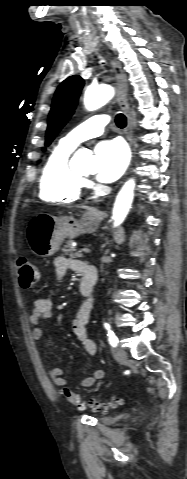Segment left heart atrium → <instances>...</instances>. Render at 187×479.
Instances as JSON below:
<instances>
[{
  "mask_svg": "<svg viewBox=\"0 0 187 479\" xmlns=\"http://www.w3.org/2000/svg\"><path fill=\"white\" fill-rule=\"evenodd\" d=\"M95 154L99 161L97 179L100 182H113L123 174L128 163V154L120 141H101L95 147Z\"/></svg>",
  "mask_w": 187,
  "mask_h": 479,
  "instance_id": "39dd6f15",
  "label": "left heart atrium"
}]
</instances>
